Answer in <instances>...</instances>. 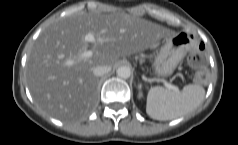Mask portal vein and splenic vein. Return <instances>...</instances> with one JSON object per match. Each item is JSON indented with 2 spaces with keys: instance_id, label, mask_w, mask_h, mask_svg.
<instances>
[{
  "instance_id": "1",
  "label": "portal vein and splenic vein",
  "mask_w": 238,
  "mask_h": 145,
  "mask_svg": "<svg viewBox=\"0 0 238 145\" xmlns=\"http://www.w3.org/2000/svg\"><path fill=\"white\" fill-rule=\"evenodd\" d=\"M85 41L87 42H95L96 41V38L93 34L89 33L85 36ZM93 55V52L91 50H87L85 52L82 53L81 57L82 58H88V57H91ZM72 61H68L67 64L68 65H72ZM164 85L170 89V90H174L175 92H179V88L177 86H174L172 84H170L169 82H164Z\"/></svg>"
}]
</instances>
